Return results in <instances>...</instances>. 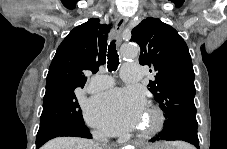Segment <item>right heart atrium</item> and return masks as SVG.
Masks as SVG:
<instances>
[{
  "instance_id": "right-heart-atrium-1",
  "label": "right heart atrium",
  "mask_w": 227,
  "mask_h": 149,
  "mask_svg": "<svg viewBox=\"0 0 227 149\" xmlns=\"http://www.w3.org/2000/svg\"><path fill=\"white\" fill-rule=\"evenodd\" d=\"M94 134H95L97 137H101V134L98 133V132H95Z\"/></svg>"
}]
</instances>
